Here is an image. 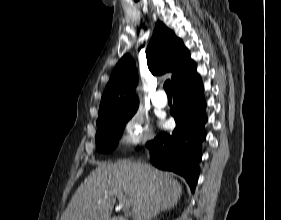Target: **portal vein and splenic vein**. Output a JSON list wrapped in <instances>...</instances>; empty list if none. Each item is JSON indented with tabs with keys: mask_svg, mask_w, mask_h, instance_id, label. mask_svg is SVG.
<instances>
[{
	"mask_svg": "<svg viewBox=\"0 0 281 220\" xmlns=\"http://www.w3.org/2000/svg\"><path fill=\"white\" fill-rule=\"evenodd\" d=\"M111 193H113V194H115L116 196H118V198L121 199V201H122V203H123L124 206L127 207V206H130V205H131V203H132L131 200L125 199L122 192L114 191V192H111ZM106 194H107V192H106Z\"/></svg>",
	"mask_w": 281,
	"mask_h": 220,
	"instance_id": "1",
	"label": "portal vein and splenic vein"
}]
</instances>
